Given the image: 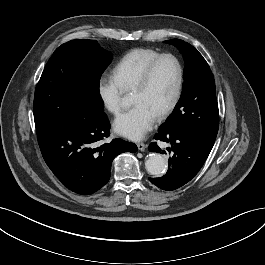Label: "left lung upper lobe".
Masks as SVG:
<instances>
[{
  "label": "left lung upper lobe",
  "instance_id": "left-lung-upper-lobe-1",
  "mask_svg": "<svg viewBox=\"0 0 265 265\" xmlns=\"http://www.w3.org/2000/svg\"><path fill=\"white\" fill-rule=\"evenodd\" d=\"M166 43L176 46L184 57V83L179 102L158 132L190 135L211 150L219 127L213 74L203 56L189 43L179 39Z\"/></svg>",
  "mask_w": 265,
  "mask_h": 265
}]
</instances>
